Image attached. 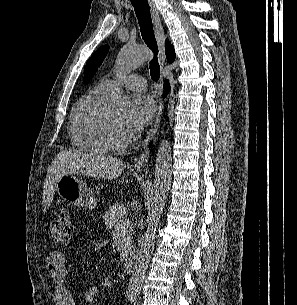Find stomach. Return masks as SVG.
<instances>
[{
  "mask_svg": "<svg viewBox=\"0 0 297 305\" xmlns=\"http://www.w3.org/2000/svg\"><path fill=\"white\" fill-rule=\"evenodd\" d=\"M55 191L65 201L83 208L94 209L97 205L95 195L89 186L73 174L61 176Z\"/></svg>",
  "mask_w": 297,
  "mask_h": 305,
  "instance_id": "stomach-1",
  "label": "stomach"
}]
</instances>
